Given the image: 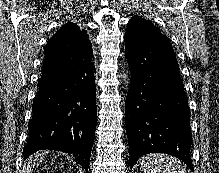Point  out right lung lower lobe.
Returning a JSON list of instances; mask_svg holds the SVG:
<instances>
[{
	"label": "right lung lower lobe",
	"mask_w": 219,
	"mask_h": 173,
	"mask_svg": "<svg viewBox=\"0 0 219 173\" xmlns=\"http://www.w3.org/2000/svg\"><path fill=\"white\" fill-rule=\"evenodd\" d=\"M95 73L92 56H75L60 66L44 61L25 158L38 150H58L72 154L87 172L97 121Z\"/></svg>",
	"instance_id": "98d812e1"
}]
</instances>
